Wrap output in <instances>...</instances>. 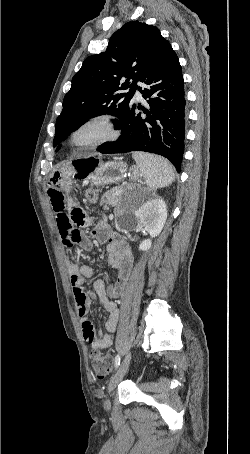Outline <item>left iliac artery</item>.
<instances>
[{
	"mask_svg": "<svg viewBox=\"0 0 250 454\" xmlns=\"http://www.w3.org/2000/svg\"><path fill=\"white\" fill-rule=\"evenodd\" d=\"M120 360H121V357L120 355L118 354L116 357H115V368L117 369L118 366L120 365Z\"/></svg>",
	"mask_w": 250,
	"mask_h": 454,
	"instance_id": "44dca946",
	"label": "left iliac artery"
}]
</instances>
